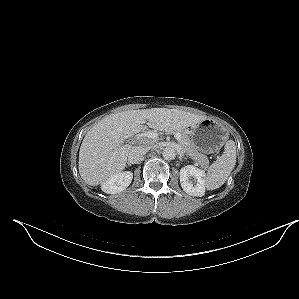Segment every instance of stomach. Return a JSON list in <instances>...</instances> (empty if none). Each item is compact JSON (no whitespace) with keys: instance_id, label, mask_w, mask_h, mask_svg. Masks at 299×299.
<instances>
[{"instance_id":"obj_1","label":"stomach","mask_w":299,"mask_h":299,"mask_svg":"<svg viewBox=\"0 0 299 299\" xmlns=\"http://www.w3.org/2000/svg\"><path fill=\"white\" fill-rule=\"evenodd\" d=\"M226 138L221 126L212 120L205 119L199 124L191 126L189 139L193 146L203 152L212 153L221 147Z\"/></svg>"}]
</instances>
